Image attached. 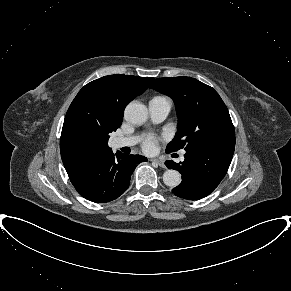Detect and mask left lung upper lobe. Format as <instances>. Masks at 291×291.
I'll return each mask as SVG.
<instances>
[{
  "label": "left lung upper lobe",
  "instance_id": "1",
  "mask_svg": "<svg viewBox=\"0 0 291 291\" xmlns=\"http://www.w3.org/2000/svg\"><path fill=\"white\" fill-rule=\"evenodd\" d=\"M151 88L170 96L178 115V132L166 151L206 146H235V131L228 109L210 86L191 77H167Z\"/></svg>",
  "mask_w": 291,
  "mask_h": 291
}]
</instances>
